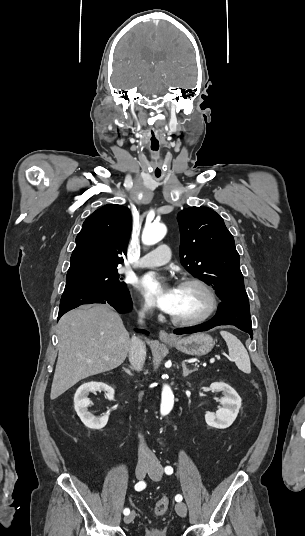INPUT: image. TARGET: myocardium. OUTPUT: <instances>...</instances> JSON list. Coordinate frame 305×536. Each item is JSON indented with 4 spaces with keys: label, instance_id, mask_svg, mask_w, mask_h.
Wrapping results in <instances>:
<instances>
[{
    "label": "myocardium",
    "instance_id": "obj_1",
    "mask_svg": "<svg viewBox=\"0 0 305 536\" xmlns=\"http://www.w3.org/2000/svg\"><path fill=\"white\" fill-rule=\"evenodd\" d=\"M193 284L201 287L209 296L210 298V307L206 313L200 316L196 317H184V316H177L174 314H170L171 319L178 324L182 325H198L201 323H204L208 320H210L214 315L218 312L220 308V297L216 289L207 281L194 277H184L179 285H188Z\"/></svg>",
    "mask_w": 305,
    "mask_h": 536
}]
</instances>
